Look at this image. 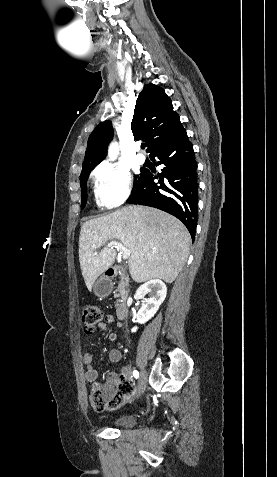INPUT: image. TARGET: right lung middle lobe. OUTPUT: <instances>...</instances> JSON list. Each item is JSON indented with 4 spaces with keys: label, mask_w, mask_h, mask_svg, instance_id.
Segmentation results:
<instances>
[{
    "label": "right lung middle lobe",
    "mask_w": 277,
    "mask_h": 477,
    "mask_svg": "<svg viewBox=\"0 0 277 477\" xmlns=\"http://www.w3.org/2000/svg\"><path fill=\"white\" fill-rule=\"evenodd\" d=\"M93 168H94V167L88 168V169H85V170H82L81 175H80L81 198H82L81 208H84V206H85V204H86V200H87L86 181H87V179H88V176H89L91 170H93ZM143 174H144V170H141L140 175H135V176H134V186H133V188L140 182V180H141L142 177H143Z\"/></svg>",
    "instance_id": "dd1d6c3e"
}]
</instances>
